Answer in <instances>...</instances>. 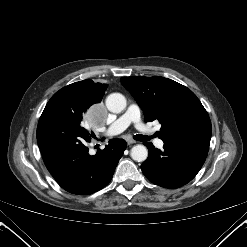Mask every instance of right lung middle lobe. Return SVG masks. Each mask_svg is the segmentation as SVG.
Wrapping results in <instances>:
<instances>
[{
	"label": "right lung middle lobe",
	"mask_w": 247,
	"mask_h": 247,
	"mask_svg": "<svg viewBox=\"0 0 247 247\" xmlns=\"http://www.w3.org/2000/svg\"><path fill=\"white\" fill-rule=\"evenodd\" d=\"M99 102L75 88L66 86L51 97L43 113L58 114L80 123Z\"/></svg>",
	"instance_id": "right-lung-middle-lobe-1"
}]
</instances>
